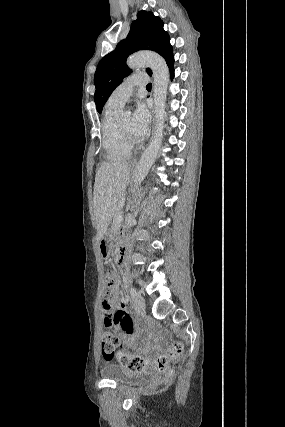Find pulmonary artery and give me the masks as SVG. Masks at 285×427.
I'll list each match as a JSON object with an SVG mask.
<instances>
[{"label":"pulmonary artery","instance_id":"e3ab8cb5","mask_svg":"<svg viewBox=\"0 0 285 427\" xmlns=\"http://www.w3.org/2000/svg\"><path fill=\"white\" fill-rule=\"evenodd\" d=\"M148 82L147 74L131 75L119 85L110 95L108 102L110 104L123 107L131 97L135 86H144Z\"/></svg>","mask_w":285,"mask_h":427}]
</instances>
